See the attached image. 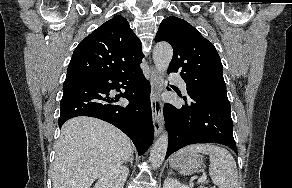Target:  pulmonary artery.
I'll list each match as a JSON object with an SVG mask.
<instances>
[{
  "instance_id": "1",
  "label": "pulmonary artery",
  "mask_w": 292,
  "mask_h": 188,
  "mask_svg": "<svg viewBox=\"0 0 292 188\" xmlns=\"http://www.w3.org/2000/svg\"><path fill=\"white\" fill-rule=\"evenodd\" d=\"M170 77L172 79L178 81V84H179L180 88L182 90L186 91L187 86H186L185 82L180 79V76L176 72H171Z\"/></svg>"
}]
</instances>
